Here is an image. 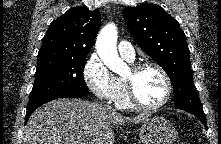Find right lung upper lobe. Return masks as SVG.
Segmentation results:
<instances>
[{"instance_id":"1","label":"right lung upper lobe","mask_w":221,"mask_h":144,"mask_svg":"<svg viewBox=\"0 0 221 144\" xmlns=\"http://www.w3.org/2000/svg\"><path fill=\"white\" fill-rule=\"evenodd\" d=\"M100 26L98 10L90 11L83 7L69 9L51 22L38 57H87Z\"/></svg>"}]
</instances>
